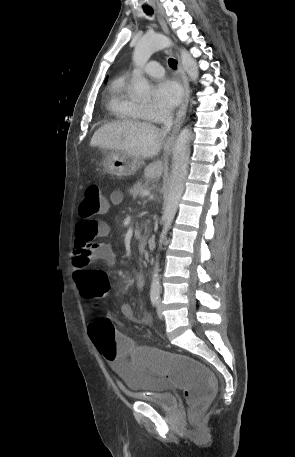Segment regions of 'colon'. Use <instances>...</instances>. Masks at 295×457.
Instances as JSON below:
<instances>
[{
  "mask_svg": "<svg viewBox=\"0 0 295 457\" xmlns=\"http://www.w3.org/2000/svg\"><path fill=\"white\" fill-rule=\"evenodd\" d=\"M107 208L108 203L100 187L95 183L89 184L79 206L80 217L89 220ZM77 252L82 255L77 264H85L87 250ZM109 293L110 274L101 269L87 271V286L83 288L82 295L91 307L95 300ZM89 335L93 349L97 355H103L104 360L130 362L131 366H140L141 372H162V378H167L168 383H176V390H184L192 415L206 404L213 390H217L215 374H211L210 369H204V363L181 357L180 351H164V346H136L135 341H129L127 330H115L108 318L94 320Z\"/></svg>",
  "mask_w": 295,
  "mask_h": 457,
  "instance_id": "obj_1",
  "label": "colon"
}]
</instances>
